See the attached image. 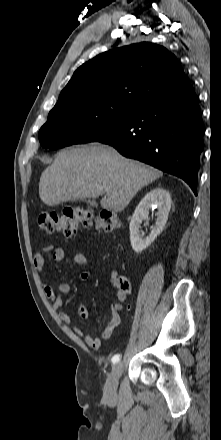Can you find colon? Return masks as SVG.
I'll use <instances>...</instances> for the list:
<instances>
[{"mask_svg": "<svg viewBox=\"0 0 221 440\" xmlns=\"http://www.w3.org/2000/svg\"><path fill=\"white\" fill-rule=\"evenodd\" d=\"M121 226L120 218L111 211L94 214L80 208H65L60 213L42 212L38 217V228L46 234L60 232L70 237L76 235L81 227H94L97 231L114 232ZM118 288L125 294L130 293L131 285L127 278L120 277Z\"/></svg>", "mask_w": 221, "mask_h": 440, "instance_id": "1", "label": "colon"}]
</instances>
